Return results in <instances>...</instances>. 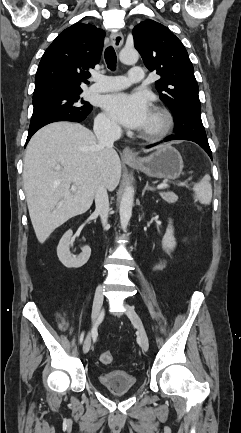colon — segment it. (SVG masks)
<instances>
[{"mask_svg":"<svg viewBox=\"0 0 241 433\" xmlns=\"http://www.w3.org/2000/svg\"><path fill=\"white\" fill-rule=\"evenodd\" d=\"M99 359L104 364H110L113 361V356L109 351L105 350L101 352Z\"/></svg>","mask_w":241,"mask_h":433,"instance_id":"colon-1","label":"colon"}]
</instances>
